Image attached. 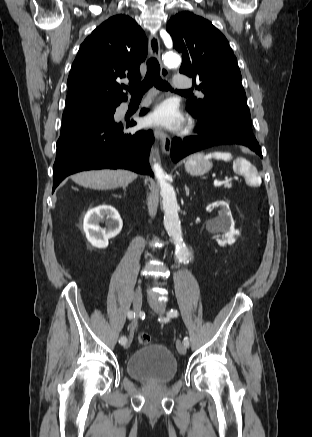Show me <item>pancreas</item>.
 <instances>
[{
	"instance_id": "pancreas-1",
	"label": "pancreas",
	"mask_w": 312,
	"mask_h": 437,
	"mask_svg": "<svg viewBox=\"0 0 312 437\" xmlns=\"http://www.w3.org/2000/svg\"><path fill=\"white\" fill-rule=\"evenodd\" d=\"M224 187L227 188V189H230L232 187V184L227 182V183L224 184Z\"/></svg>"
}]
</instances>
